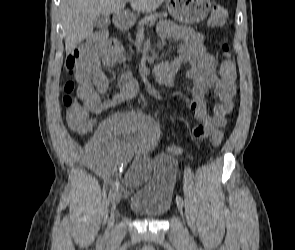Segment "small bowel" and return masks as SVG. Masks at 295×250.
<instances>
[{
  "label": "small bowel",
  "instance_id": "c3829d8e",
  "mask_svg": "<svg viewBox=\"0 0 295 250\" xmlns=\"http://www.w3.org/2000/svg\"><path fill=\"white\" fill-rule=\"evenodd\" d=\"M159 35L163 42L173 38L181 44L172 60L161 61L154 66L156 81L172 87L176 75L185 69L186 77L192 81L186 104L198 121L192 135L199 140L207 138L211 145L219 146L227 116L233 110L235 82L227 83L217 76L218 61L207 52L204 35L199 31L165 22L159 27ZM123 60V48L114 39L108 40L98 51H88L79 56L72 53L67 57L66 68L79 84L77 94L82 103L96 107L101 113L137 95V82L130 73L125 72L119 77L116 92L104 97L109 81L102 66L111 67ZM209 91L216 100L211 113L205 101ZM157 139L156 124L141 112H124L113 116L98 130L92 144L98 173L108 178L114 170V163L133 157L123 181L127 188L142 184L149 176L152 162L148 153ZM180 152L176 146L167 150L168 155H178Z\"/></svg>",
  "mask_w": 295,
  "mask_h": 250
}]
</instances>
